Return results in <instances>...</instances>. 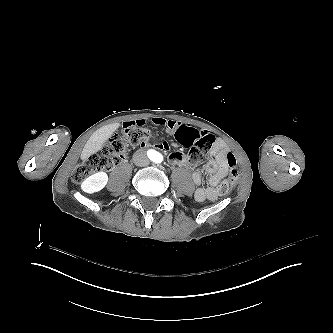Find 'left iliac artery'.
I'll return each instance as SVG.
<instances>
[{"mask_svg":"<svg viewBox=\"0 0 333 333\" xmlns=\"http://www.w3.org/2000/svg\"><path fill=\"white\" fill-rule=\"evenodd\" d=\"M162 161V156L159 155V157L157 158V162H161Z\"/></svg>","mask_w":333,"mask_h":333,"instance_id":"left-iliac-artery-1","label":"left iliac artery"}]
</instances>
